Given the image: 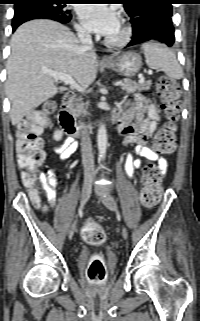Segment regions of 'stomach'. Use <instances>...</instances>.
<instances>
[{
	"label": "stomach",
	"instance_id": "obj_1",
	"mask_svg": "<svg viewBox=\"0 0 200 321\" xmlns=\"http://www.w3.org/2000/svg\"><path fill=\"white\" fill-rule=\"evenodd\" d=\"M105 66L122 76L133 77L141 69L142 58L135 51H127L114 56Z\"/></svg>",
	"mask_w": 200,
	"mask_h": 321
}]
</instances>
